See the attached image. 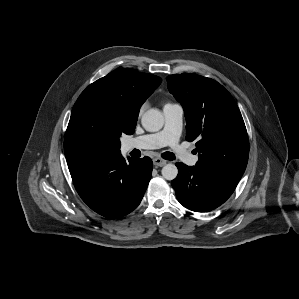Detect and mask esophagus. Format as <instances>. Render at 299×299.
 <instances>
[{
	"label": "esophagus",
	"instance_id": "34e87169",
	"mask_svg": "<svg viewBox=\"0 0 299 299\" xmlns=\"http://www.w3.org/2000/svg\"><path fill=\"white\" fill-rule=\"evenodd\" d=\"M166 163H167L166 160L161 159V158H158V157L153 159V164H154L156 167H162V166H164Z\"/></svg>",
	"mask_w": 299,
	"mask_h": 299
}]
</instances>
